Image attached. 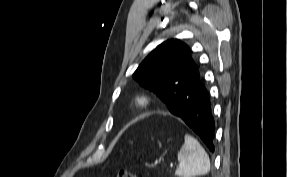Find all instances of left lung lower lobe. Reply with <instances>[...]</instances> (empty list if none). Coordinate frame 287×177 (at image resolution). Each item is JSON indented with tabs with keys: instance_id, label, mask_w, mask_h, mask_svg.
Here are the masks:
<instances>
[{
	"instance_id": "left-lung-lower-lobe-1",
	"label": "left lung lower lobe",
	"mask_w": 287,
	"mask_h": 177,
	"mask_svg": "<svg viewBox=\"0 0 287 177\" xmlns=\"http://www.w3.org/2000/svg\"><path fill=\"white\" fill-rule=\"evenodd\" d=\"M169 111L180 117L214 152V119L208 92L202 82L185 87L177 99L170 100Z\"/></svg>"
}]
</instances>
